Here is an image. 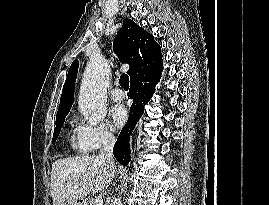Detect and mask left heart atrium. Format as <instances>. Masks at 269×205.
<instances>
[{"instance_id": "left-heart-atrium-1", "label": "left heart atrium", "mask_w": 269, "mask_h": 205, "mask_svg": "<svg viewBox=\"0 0 269 205\" xmlns=\"http://www.w3.org/2000/svg\"><path fill=\"white\" fill-rule=\"evenodd\" d=\"M112 124L115 129L121 127L127 120V112L123 105H114L110 111Z\"/></svg>"}]
</instances>
